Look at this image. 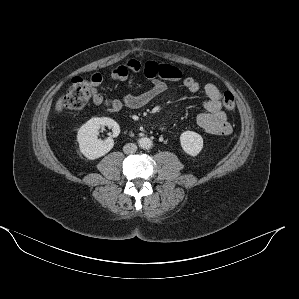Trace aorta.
<instances>
[{
    "label": "aorta",
    "mask_w": 299,
    "mask_h": 299,
    "mask_svg": "<svg viewBox=\"0 0 299 299\" xmlns=\"http://www.w3.org/2000/svg\"><path fill=\"white\" fill-rule=\"evenodd\" d=\"M139 144L143 149H150L153 145L152 140L147 137L141 138Z\"/></svg>",
    "instance_id": "aorta-1"
}]
</instances>
